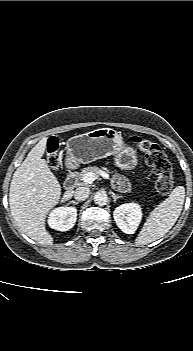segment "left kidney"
I'll use <instances>...</instances> for the list:
<instances>
[{"mask_svg":"<svg viewBox=\"0 0 193 351\" xmlns=\"http://www.w3.org/2000/svg\"><path fill=\"white\" fill-rule=\"evenodd\" d=\"M142 215V209L137 203L122 204L113 212L117 226L126 234H133L137 230Z\"/></svg>","mask_w":193,"mask_h":351,"instance_id":"1","label":"left kidney"}]
</instances>
